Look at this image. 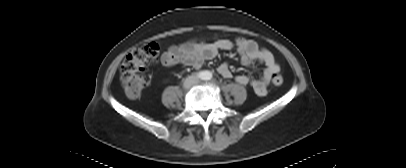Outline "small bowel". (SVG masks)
<instances>
[{"label": "small bowel", "instance_id": "c3829d8e", "mask_svg": "<svg viewBox=\"0 0 406 168\" xmlns=\"http://www.w3.org/2000/svg\"><path fill=\"white\" fill-rule=\"evenodd\" d=\"M236 49L242 64L248 65L255 61L264 66L260 78L255 79L250 75L241 74L235 80L241 85H249L258 96L267 94V85L272 75L280 71L273 54L266 48L260 47L257 42L244 37H237L233 42L230 40H219L214 43H205L197 40H190L179 45H172L161 57V63L167 67L183 64L193 68H199L202 64L214 58L219 50ZM218 72L224 78H231L232 72L227 63L218 67Z\"/></svg>", "mask_w": 406, "mask_h": 168}]
</instances>
